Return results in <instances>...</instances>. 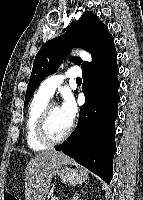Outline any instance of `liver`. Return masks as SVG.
Segmentation results:
<instances>
[{
	"label": "liver",
	"instance_id": "1",
	"mask_svg": "<svg viewBox=\"0 0 143 200\" xmlns=\"http://www.w3.org/2000/svg\"><path fill=\"white\" fill-rule=\"evenodd\" d=\"M72 163V159L62 152L47 150L38 153L25 169V199L45 200L51 186V180L62 165Z\"/></svg>",
	"mask_w": 143,
	"mask_h": 200
}]
</instances>
